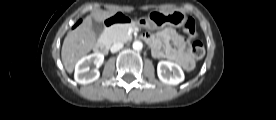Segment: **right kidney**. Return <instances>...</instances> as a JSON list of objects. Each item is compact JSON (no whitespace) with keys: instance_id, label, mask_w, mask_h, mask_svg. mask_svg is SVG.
I'll list each match as a JSON object with an SVG mask.
<instances>
[{"instance_id":"ca27d5eb","label":"right kidney","mask_w":276,"mask_h":120,"mask_svg":"<svg viewBox=\"0 0 276 120\" xmlns=\"http://www.w3.org/2000/svg\"><path fill=\"white\" fill-rule=\"evenodd\" d=\"M104 56L101 53H93L82 57L75 66L74 78L80 84H89L97 80L100 76L98 69L90 70V65L94 63L97 67L101 66Z\"/></svg>"}]
</instances>
